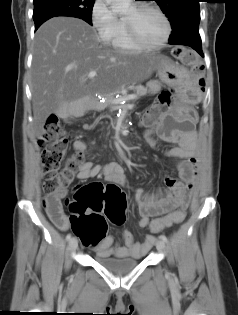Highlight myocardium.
I'll return each mask as SVG.
<instances>
[{
	"label": "myocardium",
	"mask_w": 238,
	"mask_h": 315,
	"mask_svg": "<svg viewBox=\"0 0 238 315\" xmlns=\"http://www.w3.org/2000/svg\"><path fill=\"white\" fill-rule=\"evenodd\" d=\"M144 11H153L157 13L163 20L166 32L164 38L156 43V44H147L143 42L139 37L135 29L134 24V18H127L125 17V24H126V30L128 34V38L130 42L137 47L140 50H157L163 47L170 39L171 33H172V26L171 23L166 16V14L157 6L151 5V4H139L134 6V15H138Z\"/></svg>",
	"instance_id": "1"
}]
</instances>
